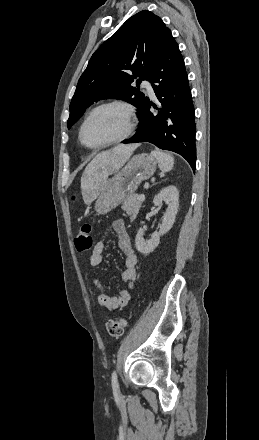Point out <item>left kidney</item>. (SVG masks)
Here are the masks:
<instances>
[{"label":"left kidney","instance_id":"left-kidney-1","mask_svg":"<svg viewBox=\"0 0 259 440\" xmlns=\"http://www.w3.org/2000/svg\"><path fill=\"white\" fill-rule=\"evenodd\" d=\"M168 205L166 212L163 215V221L160 226L159 232H155L151 235L149 240L143 238L144 229L141 227L135 238L136 249L142 254H149L155 250L160 242V237L166 234L173 226L175 217L179 207V192L178 189L169 185L163 188L153 199L154 206H160L162 202ZM144 222H141L143 224Z\"/></svg>","mask_w":259,"mask_h":440}]
</instances>
